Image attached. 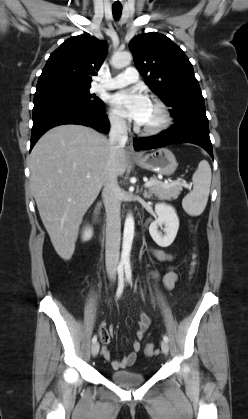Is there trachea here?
Listing matches in <instances>:
<instances>
[{
	"mask_svg": "<svg viewBox=\"0 0 248 419\" xmlns=\"http://www.w3.org/2000/svg\"><path fill=\"white\" fill-rule=\"evenodd\" d=\"M112 13L116 20H118L122 13V6H112Z\"/></svg>",
	"mask_w": 248,
	"mask_h": 419,
	"instance_id": "trachea-1",
	"label": "trachea"
}]
</instances>
